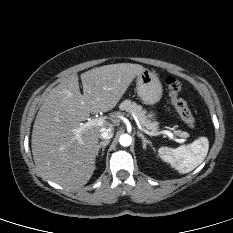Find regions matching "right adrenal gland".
I'll return each instance as SVG.
<instances>
[{
  "label": "right adrenal gland",
  "mask_w": 233,
  "mask_h": 233,
  "mask_svg": "<svg viewBox=\"0 0 233 233\" xmlns=\"http://www.w3.org/2000/svg\"><path fill=\"white\" fill-rule=\"evenodd\" d=\"M109 142H110L109 140H105L100 142V144L98 145V151L102 149V154H101L102 156L104 155L105 148L109 144Z\"/></svg>",
  "instance_id": "2a0ac1e0"
}]
</instances>
